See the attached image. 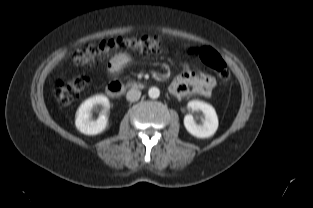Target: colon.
I'll use <instances>...</instances> for the list:
<instances>
[{
    "label": "colon",
    "instance_id": "5ec220e1",
    "mask_svg": "<svg viewBox=\"0 0 313 208\" xmlns=\"http://www.w3.org/2000/svg\"><path fill=\"white\" fill-rule=\"evenodd\" d=\"M134 51L138 53L162 54L169 51V47L158 37L144 36L133 39H112L102 42L98 46L81 45L71 52L72 64L79 66L108 58L116 52ZM198 58L212 68L225 83L230 81V73L222 57L213 49L205 47L193 50ZM207 77H211L204 74ZM87 82L86 77H69L58 79L54 84V93L59 106L65 107L77 99Z\"/></svg>",
    "mask_w": 313,
    "mask_h": 208
}]
</instances>
